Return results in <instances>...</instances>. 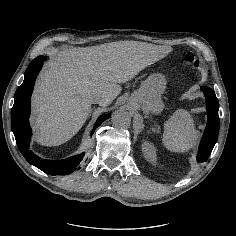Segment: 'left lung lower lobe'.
<instances>
[{"mask_svg":"<svg viewBox=\"0 0 236 236\" xmlns=\"http://www.w3.org/2000/svg\"><path fill=\"white\" fill-rule=\"evenodd\" d=\"M201 89L204 92L206 98V108H207V125L204 132V135L201 139L197 161L204 162L208 159L209 155L212 152V149L217 141L219 133V102L215 95L213 89L202 86Z\"/></svg>","mask_w":236,"mask_h":236,"instance_id":"1","label":"left lung lower lobe"}]
</instances>
